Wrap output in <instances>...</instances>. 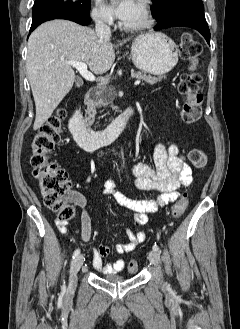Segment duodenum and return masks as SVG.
<instances>
[{"instance_id": "obj_1", "label": "duodenum", "mask_w": 240, "mask_h": 329, "mask_svg": "<svg viewBox=\"0 0 240 329\" xmlns=\"http://www.w3.org/2000/svg\"><path fill=\"white\" fill-rule=\"evenodd\" d=\"M133 115L134 108L130 106L104 129L93 130L84 122L78 107L74 106L70 115L69 128L79 146L86 151H91L116 139L126 128Z\"/></svg>"}]
</instances>
